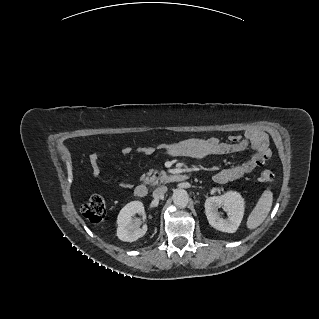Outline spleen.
<instances>
[{"label": "spleen", "instance_id": "3e777b00", "mask_svg": "<svg viewBox=\"0 0 319 319\" xmlns=\"http://www.w3.org/2000/svg\"><path fill=\"white\" fill-rule=\"evenodd\" d=\"M272 203L273 193L265 190L247 219L248 229H255L263 223L271 210Z\"/></svg>", "mask_w": 319, "mask_h": 319}]
</instances>
